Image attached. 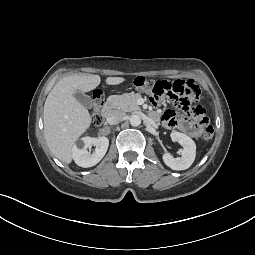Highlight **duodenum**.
I'll return each mask as SVG.
<instances>
[{
    "instance_id": "410a0bca",
    "label": "duodenum",
    "mask_w": 255,
    "mask_h": 255,
    "mask_svg": "<svg viewBox=\"0 0 255 255\" xmlns=\"http://www.w3.org/2000/svg\"><path fill=\"white\" fill-rule=\"evenodd\" d=\"M113 113V107L110 103L105 104L102 109V115L104 118H109Z\"/></svg>"
}]
</instances>
